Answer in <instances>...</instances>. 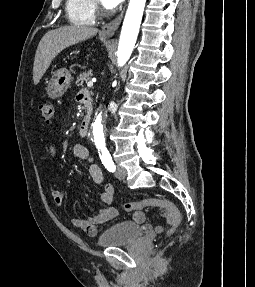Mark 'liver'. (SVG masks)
Returning <instances> with one entry per match:
<instances>
[{
    "instance_id": "obj_1",
    "label": "liver",
    "mask_w": 255,
    "mask_h": 287,
    "mask_svg": "<svg viewBox=\"0 0 255 287\" xmlns=\"http://www.w3.org/2000/svg\"><path fill=\"white\" fill-rule=\"evenodd\" d=\"M97 28L90 26H64L57 30H50L38 44L34 58L33 82L35 86L39 84L42 76L48 70L52 60L69 46L89 40L98 34Z\"/></svg>"
}]
</instances>
